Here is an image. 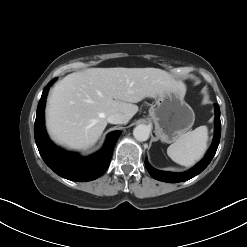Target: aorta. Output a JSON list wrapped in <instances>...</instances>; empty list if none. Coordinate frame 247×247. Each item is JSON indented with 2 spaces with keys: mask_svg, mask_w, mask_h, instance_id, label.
I'll return each instance as SVG.
<instances>
[{
  "mask_svg": "<svg viewBox=\"0 0 247 247\" xmlns=\"http://www.w3.org/2000/svg\"><path fill=\"white\" fill-rule=\"evenodd\" d=\"M150 128L147 125L140 124L133 130V135L137 141H146L149 138Z\"/></svg>",
  "mask_w": 247,
  "mask_h": 247,
  "instance_id": "762f6f07",
  "label": "aorta"
}]
</instances>
